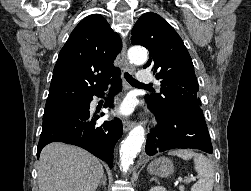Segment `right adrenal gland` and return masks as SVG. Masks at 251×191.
I'll return each mask as SVG.
<instances>
[{
  "label": "right adrenal gland",
  "instance_id": "obj_1",
  "mask_svg": "<svg viewBox=\"0 0 251 191\" xmlns=\"http://www.w3.org/2000/svg\"><path fill=\"white\" fill-rule=\"evenodd\" d=\"M101 185H104V187H105V185H107L106 173H103L102 179H101V181H99V187H101Z\"/></svg>",
  "mask_w": 251,
  "mask_h": 191
}]
</instances>
